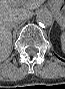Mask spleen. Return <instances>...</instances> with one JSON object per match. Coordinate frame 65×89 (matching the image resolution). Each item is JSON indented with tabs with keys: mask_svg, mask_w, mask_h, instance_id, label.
Segmentation results:
<instances>
[{
	"mask_svg": "<svg viewBox=\"0 0 65 89\" xmlns=\"http://www.w3.org/2000/svg\"><path fill=\"white\" fill-rule=\"evenodd\" d=\"M60 41H61L62 50H64V48H65V34H62L60 36Z\"/></svg>",
	"mask_w": 65,
	"mask_h": 89,
	"instance_id": "1",
	"label": "spleen"
}]
</instances>
